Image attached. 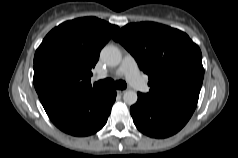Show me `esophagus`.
<instances>
[{
  "label": "esophagus",
  "instance_id": "esophagus-1",
  "mask_svg": "<svg viewBox=\"0 0 238 158\" xmlns=\"http://www.w3.org/2000/svg\"><path fill=\"white\" fill-rule=\"evenodd\" d=\"M117 93H118L119 95H122V94L125 93V90H117Z\"/></svg>",
  "mask_w": 238,
  "mask_h": 158
}]
</instances>
